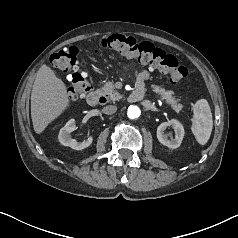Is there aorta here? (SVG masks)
Masks as SVG:
<instances>
[{"label": "aorta", "instance_id": "aorta-1", "mask_svg": "<svg viewBox=\"0 0 238 238\" xmlns=\"http://www.w3.org/2000/svg\"><path fill=\"white\" fill-rule=\"evenodd\" d=\"M141 114V111L138 106L136 105H130L127 110V115L130 119H135L139 117Z\"/></svg>", "mask_w": 238, "mask_h": 238}]
</instances>
